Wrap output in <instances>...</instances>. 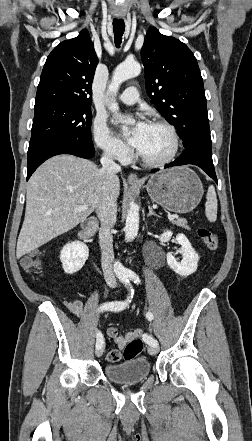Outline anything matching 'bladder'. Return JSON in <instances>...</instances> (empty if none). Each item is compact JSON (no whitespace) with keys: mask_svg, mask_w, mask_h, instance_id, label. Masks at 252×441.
Masks as SVG:
<instances>
[{"mask_svg":"<svg viewBox=\"0 0 252 441\" xmlns=\"http://www.w3.org/2000/svg\"><path fill=\"white\" fill-rule=\"evenodd\" d=\"M105 376L119 384L143 381L150 374V362L144 357L126 359L120 363H110L104 368Z\"/></svg>","mask_w":252,"mask_h":441,"instance_id":"31cf9c89","label":"bladder"}]
</instances>
